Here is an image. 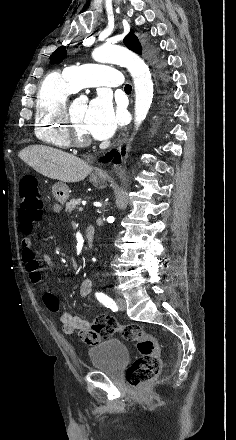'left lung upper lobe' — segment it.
Here are the masks:
<instances>
[{
  "mask_svg": "<svg viewBox=\"0 0 236 440\" xmlns=\"http://www.w3.org/2000/svg\"><path fill=\"white\" fill-rule=\"evenodd\" d=\"M123 42L126 45V47L129 48L130 50L138 54H142V47L139 43L138 38L133 33L130 32L124 38ZM66 56H67L66 48L65 46H61L50 56V61L51 63L58 64L62 62L63 59L66 58Z\"/></svg>",
  "mask_w": 236,
  "mask_h": 440,
  "instance_id": "5c2ea615",
  "label": "left lung upper lobe"
}]
</instances>
